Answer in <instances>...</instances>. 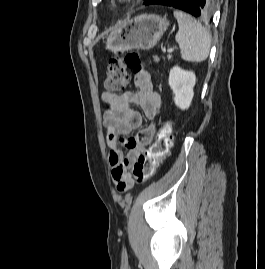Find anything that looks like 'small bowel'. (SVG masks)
Masks as SVG:
<instances>
[{"instance_id":"1","label":"small bowel","mask_w":265,"mask_h":269,"mask_svg":"<svg viewBox=\"0 0 265 269\" xmlns=\"http://www.w3.org/2000/svg\"><path fill=\"white\" fill-rule=\"evenodd\" d=\"M137 91L117 94L109 91L102 93V100L107 108L104 113L103 124L107 131V143L110 149L109 163L113 182L120 190H126L130 184L129 168L151 142L154 127L148 126L139 131L136 136L132 132L139 129L142 115L132 109L131 105L140 106L144 116L152 120L157 117L161 98L156 92L148 72L141 70L135 74ZM128 152L125 155L122 150Z\"/></svg>"}]
</instances>
